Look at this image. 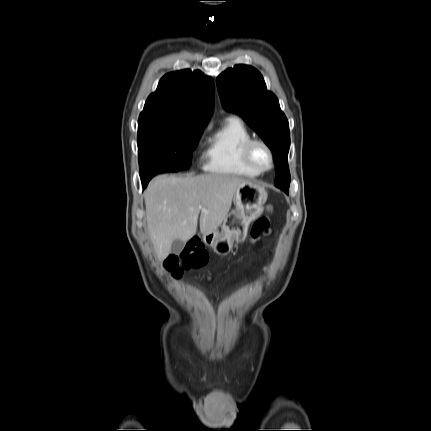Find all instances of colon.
I'll return each instance as SVG.
<instances>
[{
  "label": "colon",
  "mask_w": 431,
  "mask_h": 431,
  "mask_svg": "<svg viewBox=\"0 0 431 431\" xmlns=\"http://www.w3.org/2000/svg\"><path fill=\"white\" fill-rule=\"evenodd\" d=\"M267 210L271 213L272 206H268ZM270 229V220L268 217L258 219L252 226L250 231V241L260 239L265 236ZM207 253L197 242L190 243L180 254H172L166 260V267L176 276L181 275L185 269L199 268L205 264Z\"/></svg>",
  "instance_id": "obj_1"
}]
</instances>
